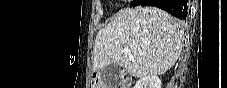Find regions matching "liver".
Masks as SVG:
<instances>
[{"label":"liver","mask_w":227,"mask_h":88,"mask_svg":"<svg viewBox=\"0 0 227 88\" xmlns=\"http://www.w3.org/2000/svg\"><path fill=\"white\" fill-rule=\"evenodd\" d=\"M183 39L180 22L162 9H122L97 33L93 71L116 64L137 78L162 75L180 56ZM123 49H129L134 60Z\"/></svg>","instance_id":"obj_1"}]
</instances>
